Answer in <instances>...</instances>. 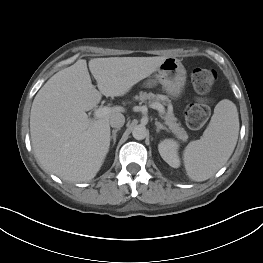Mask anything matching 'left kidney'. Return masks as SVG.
Listing matches in <instances>:
<instances>
[{
    "label": "left kidney",
    "mask_w": 263,
    "mask_h": 263,
    "mask_svg": "<svg viewBox=\"0 0 263 263\" xmlns=\"http://www.w3.org/2000/svg\"><path fill=\"white\" fill-rule=\"evenodd\" d=\"M178 147V143L172 139H165L158 145L161 157L173 168H178L180 166Z\"/></svg>",
    "instance_id": "obj_1"
}]
</instances>
